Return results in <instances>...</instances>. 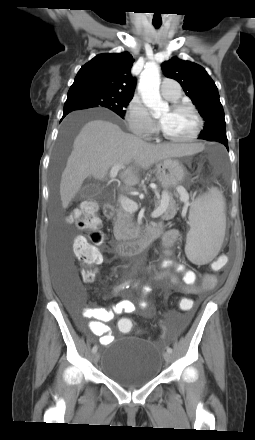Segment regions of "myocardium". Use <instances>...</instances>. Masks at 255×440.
I'll return each instance as SVG.
<instances>
[{
  "mask_svg": "<svg viewBox=\"0 0 255 440\" xmlns=\"http://www.w3.org/2000/svg\"><path fill=\"white\" fill-rule=\"evenodd\" d=\"M188 110L189 112L192 113V115L194 116L195 120H196V128L194 130V132L187 138H183V139H178V138H174L172 136H170L169 134H167L163 129L161 130V134L163 136L164 139L171 141V142H175V143H189L194 141L195 139H197L202 131L203 128V120L202 117L200 116V114L198 113V111L190 104H186V103H182V102H175L174 104H172L171 106V110L176 111V110Z\"/></svg>",
  "mask_w": 255,
  "mask_h": 440,
  "instance_id": "myocardium-1",
  "label": "myocardium"
}]
</instances>
